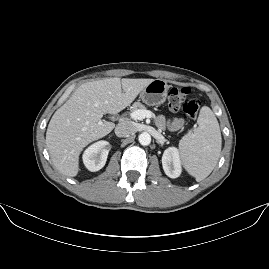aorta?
Instances as JSON below:
<instances>
[{
	"label": "aorta",
	"mask_w": 269,
	"mask_h": 269,
	"mask_svg": "<svg viewBox=\"0 0 269 269\" xmlns=\"http://www.w3.org/2000/svg\"><path fill=\"white\" fill-rule=\"evenodd\" d=\"M138 140L142 145H148L151 142V135L144 131L139 134Z\"/></svg>",
	"instance_id": "aorta-1"
}]
</instances>
